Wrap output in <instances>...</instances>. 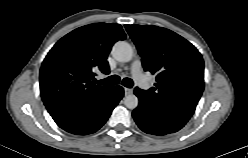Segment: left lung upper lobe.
I'll use <instances>...</instances> for the list:
<instances>
[{"label":"left lung upper lobe","instance_id":"left-lung-upper-lobe-1","mask_svg":"<svg viewBox=\"0 0 248 158\" xmlns=\"http://www.w3.org/2000/svg\"><path fill=\"white\" fill-rule=\"evenodd\" d=\"M145 71L156 74L155 88L139 90L155 106L188 121L204 90V62L180 35L153 25H125Z\"/></svg>","mask_w":248,"mask_h":158}]
</instances>
